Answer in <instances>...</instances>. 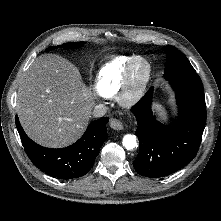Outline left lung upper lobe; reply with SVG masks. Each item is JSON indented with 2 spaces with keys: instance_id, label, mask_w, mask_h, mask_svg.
<instances>
[{
  "instance_id": "5c2ea615",
  "label": "left lung upper lobe",
  "mask_w": 221,
  "mask_h": 221,
  "mask_svg": "<svg viewBox=\"0 0 221 221\" xmlns=\"http://www.w3.org/2000/svg\"><path fill=\"white\" fill-rule=\"evenodd\" d=\"M166 65L164 77L169 80L177 75L196 72L188 59L174 46H166Z\"/></svg>"
}]
</instances>
